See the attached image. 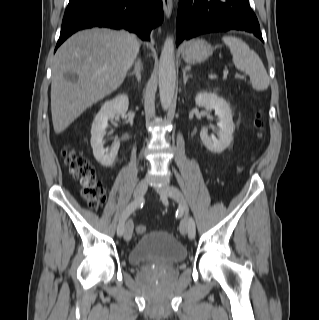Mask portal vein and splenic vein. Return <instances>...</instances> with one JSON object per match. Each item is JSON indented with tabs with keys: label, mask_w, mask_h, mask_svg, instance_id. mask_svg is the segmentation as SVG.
Instances as JSON below:
<instances>
[{
	"label": "portal vein and splenic vein",
	"mask_w": 319,
	"mask_h": 320,
	"mask_svg": "<svg viewBox=\"0 0 319 320\" xmlns=\"http://www.w3.org/2000/svg\"><path fill=\"white\" fill-rule=\"evenodd\" d=\"M227 74H228V71L225 70V71H224V75H227ZM235 77H241V75H240V74H236Z\"/></svg>",
	"instance_id": "portal-vein-and-splenic-vein-1"
}]
</instances>
